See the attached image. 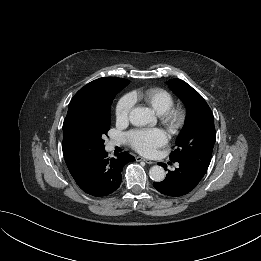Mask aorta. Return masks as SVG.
Listing matches in <instances>:
<instances>
[{
	"instance_id": "762f6f07",
	"label": "aorta",
	"mask_w": 261,
	"mask_h": 261,
	"mask_svg": "<svg viewBox=\"0 0 261 261\" xmlns=\"http://www.w3.org/2000/svg\"><path fill=\"white\" fill-rule=\"evenodd\" d=\"M129 120L134 126H145L154 122V112L147 107H137L130 112ZM149 176L155 182H162L166 173L163 167L155 165L150 168Z\"/></svg>"
}]
</instances>
